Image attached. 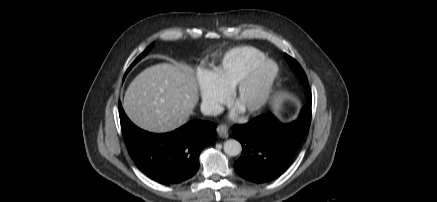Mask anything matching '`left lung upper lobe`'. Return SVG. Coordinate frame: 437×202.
<instances>
[{"label": "left lung upper lobe", "instance_id": "5c2ea615", "mask_svg": "<svg viewBox=\"0 0 437 202\" xmlns=\"http://www.w3.org/2000/svg\"><path fill=\"white\" fill-rule=\"evenodd\" d=\"M284 57L287 60V62L289 63V65L291 66V68L296 73L300 82L304 84V87H305L306 93H307V97H308V104L311 105V103H312L311 91H310L308 79H307V76H306L304 70L302 69L300 64L295 59L290 57L289 55L284 54Z\"/></svg>", "mask_w": 437, "mask_h": 202}]
</instances>
